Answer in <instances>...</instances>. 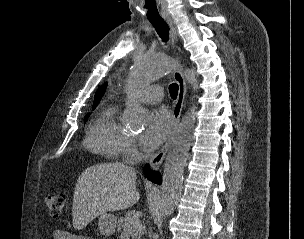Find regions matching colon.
I'll use <instances>...</instances> for the list:
<instances>
[{
  "mask_svg": "<svg viewBox=\"0 0 304 239\" xmlns=\"http://www.w3.org/2000/svg\"><path fill=\"white\" fill-rule=\"evenodd\" d=\"M43 200L51 216H60L66 204V196L63 193L45 194Z\"/></svg>",
  "mask_w": 304,
  "mask_h": 239,
  "instance_id": "colon-1",
  "label": "colon"
}]
</instances>
